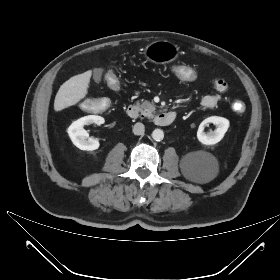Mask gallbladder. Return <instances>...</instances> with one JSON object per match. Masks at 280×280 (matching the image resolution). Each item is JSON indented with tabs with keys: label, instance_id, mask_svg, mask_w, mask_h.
Segmentation results:
<instances>
[{
	"label": "gallbladder",
	"instance_id": "1",
	"mask_svg": "<svg viewBox=\"0 0 280 280\" xmlns=\"http://www.w3.org/2000/svg\"><path fill=\"white\" fill-rule=\"evenodd\" d=\"M103 74V69L98 68L94 70L93 79L96 83H100Z\"/></svg>",
	"mask_w": 280,
	"mask_h": 280
}]
</instances>
